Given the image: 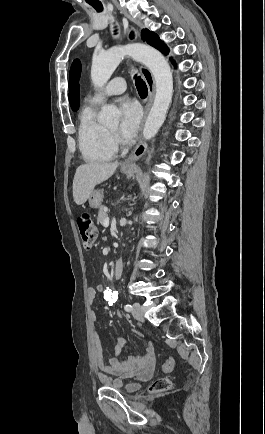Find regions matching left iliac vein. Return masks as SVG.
Returning <instances> with one entry per match:
<instances>
[{
    "label": "left iliac vein",
    "mask_w": 265,
    "mask_h": 434,
    "mask_svg": "<svg viewBox=\"0 0 265 434\" xmlns=\"http://www.w3.org/2000/svg\"><path fill=\"white\" fill-rule=\"evenodd\" d=\"M133 317L138 320L139 322H143L144 321V316H143V309L140 303L135 302L133 303V311H132Z\"/></svg>",
    "instance_id": "obj_1"
}]
</instances>
